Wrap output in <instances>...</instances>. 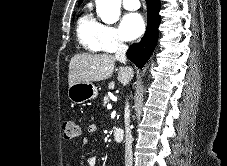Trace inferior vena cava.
Here are the masks:
<instances>
[{
	"instance_id": "1",
	"label": "inferior vena cava",
	"mask_w": 227,
	"mask_h": 166,
	"mask_svg": "<svg viewBox=\"0 0 227 166\" xmlns=\"http://www.w3.org/2000/svg\"><path fill=\"white\" fill-rule=\"evenodd\" d=\"M127 45L124 44L123 42H118L117 44V49L115 53V58L122 62L126 63L127 58H126V52H127ZM126 83H128L132 76H133V71L130 67H126ZM125 111H126V118H125V166H132L133 165V155H132V134H131V129H130V118H129V103H126L125 106Z\"/></svg>"
}]
</instances>
